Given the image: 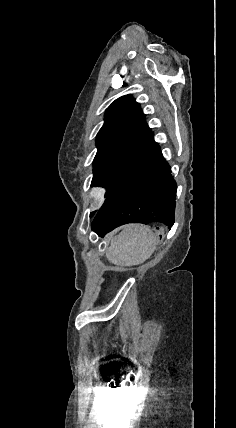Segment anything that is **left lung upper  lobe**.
<instances>
[{"instance_id": "left-lung-upper-lobe-1", "label": "left lung upper lobe", "mask_w": 236, "mask_h": 428, "mask_svg": "<svg viewBox=\"0 0 236 428\" xmlns=\"http://www.w3.org/2000/svg\"><path fill=\"white\" fill-rule=\"evenodd\" d=\"M151 133L139 103L131 95L115 100L106 110L105 122L97 134L91 186L105 187L109 193Z\"/></svg>"}]
</instances>
